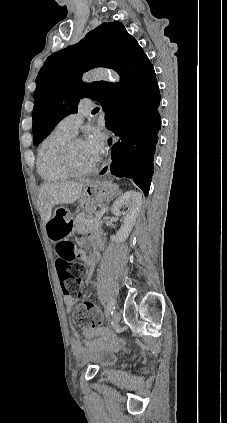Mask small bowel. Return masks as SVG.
I'll return each mask as SVG.
<instances>
[{"label":"small bowel","instance_id":"1","mask_svg":"<svg viewBox=\"0 0 227 423\" xmlns=\"http://www.w3.org/2000/svg\"><path fill=\"white\" fill-rule=\"evenodd\" d=\"M67 222L66 220H64V219H62V218H57V217H55V218H53V219H51L48 223H47V232H48V236H49V238L52 240V241H54L53 240V238H52V236H51V229H52V227L56 224V223H59V222ZM55 242V241H54ZM87 263L90 265V266H93L94 265V260H87ZM77 300H78V297H69V296H64V301H65V307H66V310L67 311H71L72 310V308L74 307V305L76 304V302H77ZM83 335H84V337L86 338V339H88V340H92V339H94V338H96V337H98V336H103V338L106 340V341H112L113 340V337L109 334V333H107L106 331H103L102 329H97V328H94V329H85L84 331H83ZM73 350H74V352L76 353V354H80V353H82L83 352V350H84V347L82 346V344L80 343V341L79 340H77V339H74L73 340Z\"/></svg>","mask_w":227,"mask_h":423}]
</instances>
